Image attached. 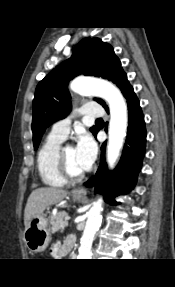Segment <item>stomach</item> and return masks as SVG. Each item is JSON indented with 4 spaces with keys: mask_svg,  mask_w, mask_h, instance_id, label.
I'll return each instance as SVG.
<instances>
[{
    "mask_svg": "<svg viewBox=\"0 0 175 287\" xmlns=\"http://www.w3.org/2000/svg\"><path fill=\"white\" fill-rule=\"evenodd\" d=\"M74 201H81L82 196L76 194L72 195ZM24 242L32 253H39L44 251L51 241V230L49 228L48 220L43 215H38L28 223L23 234Z\"/></svg>",
    "mask_w": 175,
    "mask_h": 287,
    "instance_id": "0dacf381",
    "label": "stomach"
}]
</instances>
